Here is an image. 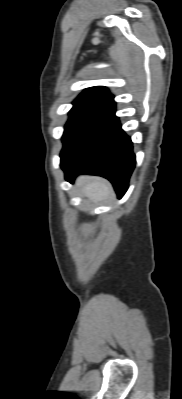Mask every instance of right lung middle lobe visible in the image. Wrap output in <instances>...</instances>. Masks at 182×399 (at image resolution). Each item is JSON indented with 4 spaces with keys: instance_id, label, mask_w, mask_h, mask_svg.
<instances>
[{
    "instance_id": "1",
    "label": "right lung middle lobe",
    "mask_w": 182,
    "mask_h": 399,
    "mask_svg": "<svg viewBox=\"0 0 182 399\" xmlns=\"http://www.w3.org/2000/svg\"><path fill=\"white\" fill-rule=\"evenodd\" d=\"M73 108L69 112V120L65 126V131L62 139L64 140L68 134L76 128L82 121L92 114L103 109L107 105L103 102L92 100L89 98L78 97L73 102Z\"/></svg>"
}]
</instances>
